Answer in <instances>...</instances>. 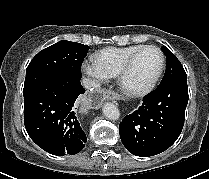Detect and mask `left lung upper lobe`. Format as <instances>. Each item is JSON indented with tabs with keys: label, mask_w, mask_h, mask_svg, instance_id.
Here are the masks:
<instances>
[{
	"label": "left lung upper lobe",
	"mask_w": 209,
	"mask_h": 179,
	"mask_svg": "<svg viewBox=\"0 0 209 179\" xmlns=\"http://www.w3.org/2000/svg\"><path fill=\"white\" fill-rule=\"evenodd\" d=\"M162 51L166 55L167 69L159 86H164L176 80L187 79V75L177 57L167 47H163Z\"/></svg>",
	"instance_id": "obj_1"
}]
</instances>
